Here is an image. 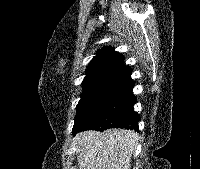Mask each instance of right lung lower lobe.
<instances>
[{
	"label": "right lung lower lobe",
	"mask_w": 200,
	"mask_h": 169,
	"mask_svg": "<svg viewBox=\"0 0 200 169\" xmlns=\"http://www.w3.org/2000/svg\"><path fill=\"white\" fill-rule=\"evenodd\" d=\"M133 86L132 79L116 85L109 98L75 134L86 130L104 131L109 128L138 130L140 116L133 110L136 102L135 95L132 93Z\"/></svg>",
	"instance_id": "obj_1"
}]
</instances>
